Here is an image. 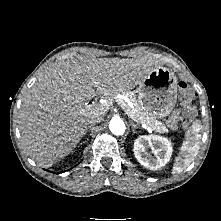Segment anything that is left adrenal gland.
I'll use <instances>...</instances> for the list:
<instances>
[{
	"mask_svg": "<svg viewBox=\"0 0 221 221\" xmlns=\"http://www.w3.org/2000/svg\"><path fill=\"white\" fill-rule=\"evenodd\" d=\"M131 123V127H132V132L135 133V129L137 128H141L138 124H134L132 121L130 122Z\"/></svg>",
	"mask_w": 221,
	"mask_h": 221,
	"instance_id": "a2214340",
	"label": "left adrenal gland"
}]
</instances>
